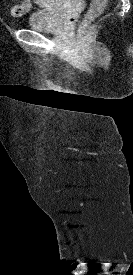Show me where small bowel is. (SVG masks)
Instances as JSON below:
<instances>
[{"label": "small bowel", "instance_id": "small-bowel-1", "mask_svg": "<svg viewBox=\"0 0 133 275\" xmlns=\"http://www.w3.org/2000/svg\"><path fill=\"white\" fill-rule=\"evenodd\" d=\"M27 1H28L29 5H30V8H31V3H30V0H27Z\"/></svg>", "mask_w": 133, "mask_h": 275}]
</instances>
